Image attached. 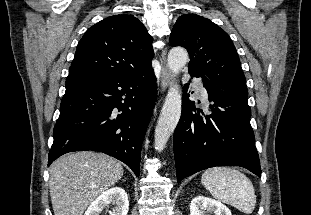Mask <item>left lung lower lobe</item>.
<instances>
[{"instance_id": "0a47b994", "label": "left lung lower lobe", "mask_w": 311, "mask_h": 215, "mask_svg": "<svg viewBox=\"0 0 311 215\" xmlns=\"http://www.w3.org/2000/svg\"><path fill=\"white\" fill-rule=\"evenodd\" d=\"M188 70L191 76L203 79L212 103L204 115L189 100V85H184L182 114L173 138L178 182L214 166H241L261 177L248 97L218 88L195 68Z\"/></svg>"}]
</instances>
